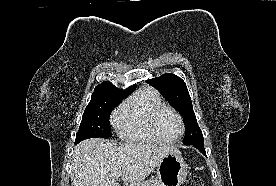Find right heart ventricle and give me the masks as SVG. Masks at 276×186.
<instances>
[{
  "instance_id": "1",
  "label": "right heart ventricle",
  "mask_w": 276,
  "mask_h": 186,
  "mask_svg": "<svg viewBox=\"0 0 276 186\" xmlns=\"http://www.w3.org/2000/svg\"><path fill=\"white\" fill-rule=\"evenodd\" d=\"M163 104L159 94L151 88H145L133 96L124 104L118 115L120 135L135 142L161 143L151 131L150 119L154 110Z\"/></svg>"
}]
</instances>
